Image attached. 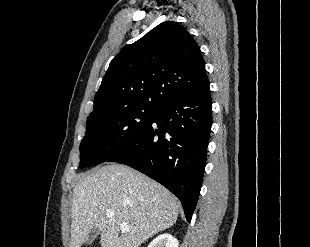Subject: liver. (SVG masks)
Instances as JSON below:
<instances>
[{
    "label": "liver",
    "mask_w": 310,
    "mask_h": 247,
    "mask_svg": "<svg viewBox=\"0 0 310 247\" xmlns=\"http://www.w3.org/2000/svg\"><path fill=\"white\" fill-rule=\"evenodd\" d=\"M179 209V200L144 174L122 164L102 166L73 190L70 247H80L93 228L101 247H139L173 226ZM123 222L129 231L121 229Z\"/></svg>",
    "instance_id": "obj_1"
}]
</instances>
